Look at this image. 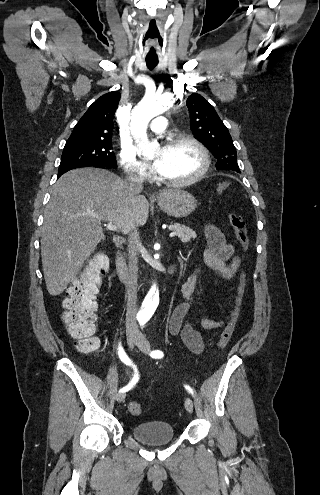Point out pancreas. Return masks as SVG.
<instances>
[{
	"instance_id": "1",
	"label": "pancreas",
	"mask_w": 320,
	"mask_h": 495,
	"mask_svg": "<svg viewBox=\"0 0 320 495\" xmlns=\"http://www.w3.org/2000/svg\"><path fill=\"white\" fill-rule=\"evenodd\" d=\"M169 230L174 232L176 236L179 237L184 243L190 242L191 239H195L197 237V234L193 229L179 223L170 225Z\"/></svg>"
}]
</instances>
